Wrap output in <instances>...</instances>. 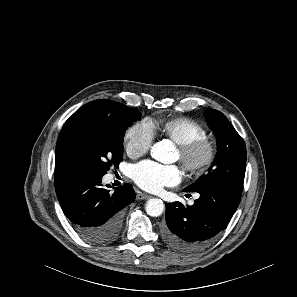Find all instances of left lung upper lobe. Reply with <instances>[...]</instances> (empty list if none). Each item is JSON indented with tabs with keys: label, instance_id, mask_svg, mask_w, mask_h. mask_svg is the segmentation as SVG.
Here are the masks:
<instances>
[{
	"label": "left lung upper lobe",
	"instance_id": "left-lung-upper-lobe-1",
	"mask_svg": "<svg viewBox=\"0 0 297 297\" xmlns=\"http://www.w3.org/2000/svg\"><path fill=\"white\" fill-rule=\"evenodd\" d=\"M205 117L216 136L218 146L216 158L208 169V173L185 189L193 191L218 183L243 186L246 146L242 137L220 111L207 109Z\"/></svg>",
	"mask_w": 297,
	"mask_h": 297
}]
</instances>
